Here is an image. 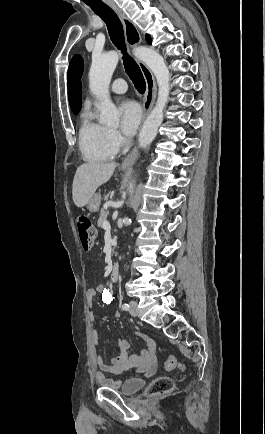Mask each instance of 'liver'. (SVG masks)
Listing matches in <instances>:
<instances>
[{"mask_svg":"<svg viewBox=\"0 0 265 434\" xmlns=\"http://www.w3.org/2000/svg\"><path fill=\"white\" fill-rule=\"evenodd\" d=\"M117 164H100V162H89L77 168L73 180L72 198L77 208H83L91 200L97 188L110 180Z\"/></svg>","mask_w":265,"mask_h":434,"instance_id":"liver-1","label":"liver"}]
</instances>
